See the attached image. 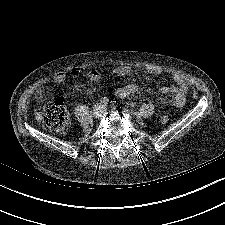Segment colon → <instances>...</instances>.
<instances>
[{"label": "colon", "instance_id": "1", "mask_svg": "<svg viewBox=\"0 0 225 225\" xmlns=\"http://www.w3.org/2000/svg\"><path fill=\"white\" fill-rule=\"evenodd\" d=\"M38 116L42 125L48 130L63 133L69 127V114L61 99H56L47 104L38 112ZM168 121L169 117L167 115L161 116L160 122L162 124H166Z\"/></svg>", "mask_w": 225, "mask_h": 225}]
</instances>
